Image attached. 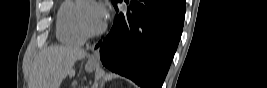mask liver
Here are the masks:
<instances>
[{
    "instance_id": "liver-1",
    "label": "liver",
    "mask_w": 267,
    "mask_h": 88,
    "mask_svg": "<svg viewBox=\"0 0 267 88\" xmlns=\"http://www.w3.org/2000/svg\"><path fill=\"white\" fill-rule=\"evenodd\" d=\"M86 51L76 47L54 45L43 49L35 58L29 88H59L68 75L73 77V65L85 58Z\"/></svg>"
}]
</instances>
